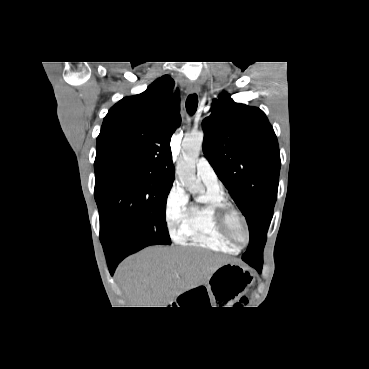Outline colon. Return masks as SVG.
<instances>
[{
	"label": "colon",
	"instance_id": "1",
	"mask_svg": "<svg viewBox=\"0 0 369 369\" xmlns=\"http://www.w3.org/2000/svg\"><path fill=\"white\" fill-rule=\"evenodd\" d=\"M244 302H245V300H244V299H242V300H240V301L238 302V304H237V305H242V304H244Z\"/></svg>",
	"mask_w": 369,
	"mask_h": 369
}]
</instances>
